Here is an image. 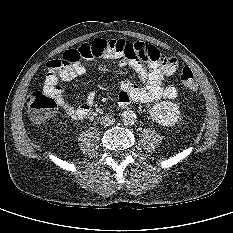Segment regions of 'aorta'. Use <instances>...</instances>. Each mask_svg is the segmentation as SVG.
Returning <instances> with one entry per match:
<instances>
[{
	"label": "aorta",
	"mask_w": 233,
	"mask_h": 233,
	"mask_svg": "<svg viewBox=\"0 0 233 233\" xmlns=\"http://www.w3.org/2000/svg\"><path fill=\"white\" fill-rule=\"evenodd\" d=\"M121 116L126 124H134L136 121V114L131 110L123 111Z\"/></svg>",
	"instance_id": "obj_1"
}]
</instances>
